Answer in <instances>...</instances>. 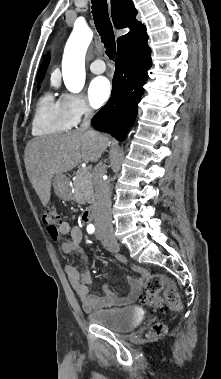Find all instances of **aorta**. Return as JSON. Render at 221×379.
Here are the masks:
<instances>
[{
    "instance_id": "obj_1",
    "label": "aorta",
    "mask_w": 221,
    "mask_h": 379,
    "mask_svg": "<svg viewBox=\"0 0 221 379\" xmlns=\"http://www.w3.org/2000/svg\"><path fill=\"white\" fill-rule=\"evenodd\" d=\"M93 32L87 26L75 27L63 54L62 75L66 88L72 93L80 92L85 84V55Z\"/></svg>"
}]
</instances>
